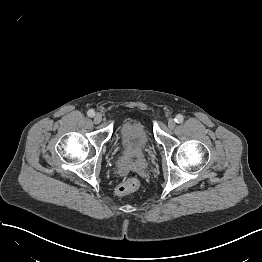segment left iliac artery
Segmentation results:
<instances>
[{"label": "left iliac artery", "mask_w": 262, "mask_h": 262, "mask_svg": "<svg viewBox=\"0 0 262 262\" xmlns=\"http://www.w3.org/2000/svg\"><path fill=\"white\" fill-rule=\"evenodd\" d=\"M174 120H175L176 123H181V122H183L184 117H183V115L178 114V115L175 117Z\"/></svg>", "instance_id": "obj_1"}]
</instances>
